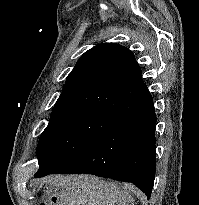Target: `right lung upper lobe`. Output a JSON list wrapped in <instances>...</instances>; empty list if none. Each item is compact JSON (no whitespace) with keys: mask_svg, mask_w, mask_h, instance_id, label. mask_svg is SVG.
<instances>
[{"mask_svg":"<svg viewBox=\"0 0 199 205\" xmlns=\"http://www.w3.org/2000/svg\"><path fill=\"white\" fill-rule=\"evenodd\" d=\"M140 82L141 69L128 48L99 44L78 60L52 112L91 108L126 118L144 105L143 99L130 89Z\"/></svg>","mask_w":199,"mask_h":205,"instance_id":"1","label":"right lung upper lobe"}]
</instances>
